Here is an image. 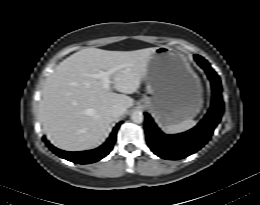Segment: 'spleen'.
Instances as JSON below:
<instances>
[{"instance_id":"spleen-1","label":"spleen","mask_w":260,"mask_h":205,"mask_svg":"<svg viewBox=\"0 0 260 205\" xmlns=\"http://www.w3.org/2000/svg\"><path fill=\"white\" fill-rule=\"evenodd\" d=\"M196 122L192 119H186L183 120L182 122L178 123V124H173V125H169L166 127V131L169 134H176V133H181V132H185L191 128H193L195 126Z\"/></svg>"}]
</instances>
